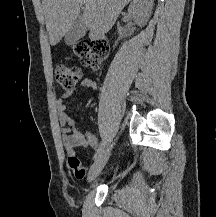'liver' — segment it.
<instances>
[{
    "instance_id": "obj_1",
    "label": "liver",
    "mask_w": 216,
    "mask_h": 217,
    "mask_svg": "<svg viewBox=\"0 0 216 217\" xmlns=\"http://www.w3.org/2000/svg\"><path fill=\"white\" fill-rule=\"evenodd\" d=\"M130 0H43L50 44L56 45L79 17L85 4L82 21L94 33L104 34L114 25Z\"/></svg>"
}]
</instances>
